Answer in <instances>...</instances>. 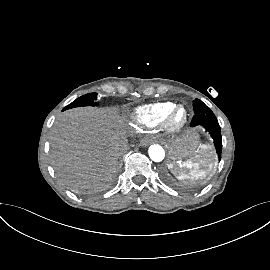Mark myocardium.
<instances>
[{"label":"myocardium","instance_id":"1","mask_svg":"<svg viewBox=\"0 0 270 270\" xmlns=\"http://www.w3.org/2000/svg\"><path fill=\"white\" fill-rule=\"evenodd\" d=\"M183 111V118L180 121H176V115L179 111ZM189 119L188 109L183 105H175L167 114L163 125L165 129L170 133L180 132L187 124Z\"/></svg>","mask_w":270,"mask_h":270}]
</instances>
